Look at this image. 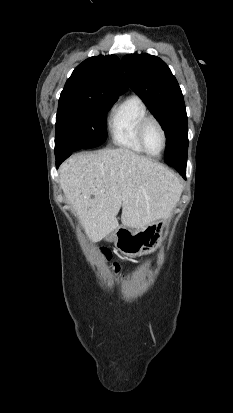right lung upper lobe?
<instances>
[{"mask_svg":"<svg viewBox=\"0 0 233 413\" xmlns=\"http://www.w3.org/2000/svg\"><path fill=\"white\" fill-rule=\"evenodd\" d=\"M128 85L119 58L99 55L84 60L73 71L61 94L117 98Z\"/></svg>","mask_w":233,"mask_h":413,"instance_id":"obj_1","label":"right lung upper lobe"}]
</instances>
